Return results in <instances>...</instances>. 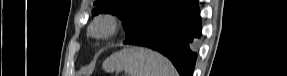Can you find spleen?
<instances>
[{
    "mask_svg": "<svg viewBox=\"0 0 287 76\" xmlns=\"http://www.w3.org/2000/svg\"><path fill=\"white\" fill-rule=\"evenodd\" d=\"M107 72L124 70L128 76H176L172 63L161 54L142 47H127L103 63Z\"/></svg>",
    "mask_w": 287,
    "mask_h": 76,
    "instance_id": "3e777b00",
    "label": "spleen"
}]
</instances>
